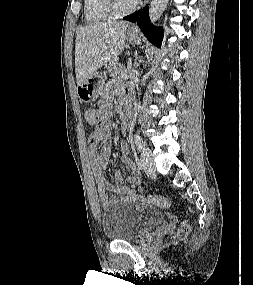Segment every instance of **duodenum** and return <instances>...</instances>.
I'll return each instance as SVG.
<instances>
[{
	"label": "duodenum",
	"instance_id": "410a0bca",
	"mask_svg": "<svg viewBox=\"0 0 253 285\" xmlns=\"http://www.w3.org/2000/svg\"><path fill=\"white\" fill-rule=\"evenodd\" d=\"M130 107H131V101L128 98L124 101V110H123L122 115H121V121L123 123H126V121L128 120V117L130 114Z\"/></svg>",
	"mask_w": 253,
	"mask_h": 285
}]
</instances>
